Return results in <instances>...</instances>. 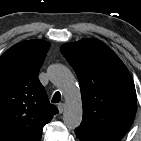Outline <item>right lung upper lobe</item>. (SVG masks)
Segmentation results:
<instances>
[{
	"label": "right lung upper lobe",
	"instance_id": "1",
	"mask_svg": "<svg viewBox=\"0 0 141 141\" xmlns=\"http://www.w3.org/2000/svg\"><path fill=\"white\" fill-rule=\"evenodd\" d=\"M50 48L43 40L15 44L0 57V141H40L58 113L38 73Z\"/></svg>",
	"mask_w": 141,
	"mask_h": 141
}]
</instances>
